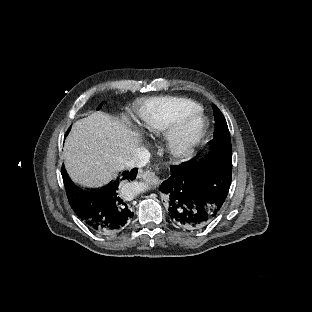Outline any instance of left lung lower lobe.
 Returning <instances> with one entry per match:
<instances>
[{
  "label": "left lung lower lobe",
  "instance_id": "0a47b994",
  "mask_svg": "<svg viewBox=\"0 0 312 312\" xmlns=\"http://www.w3.org/2000/svg\"><path fill=\"white\" fill-rule=\"evenodd\" d=\"M160 190L168 198L170 221L186 229H202L219 213L231 185L232 153L221 152L170 167Z\"/></svg>",
  "mask_w": 312,
  "mask_h": 312
}]
</instances>
